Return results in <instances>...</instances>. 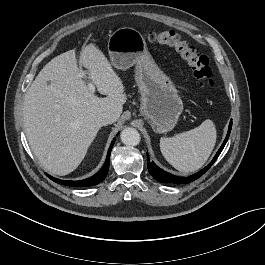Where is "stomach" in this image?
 <instances>
[{"instance_id":"obj_1","label":"stomach","mask_w":265,"mask_h":265,"mask_svg":"<svg viewBox=\"0 0 265 265\" xmlns=\"http://www.w3.org/2000/svg\"><path fill=\"white\" fill-rule=\"evenodd\" d=\"M111 64L121 70L135 65L141 94L140 113L157 133L172 130L183 111V102L171 79L158 67L142 34L134 28L114 31L108 40Z\"/></svg>"}]
</instances>
